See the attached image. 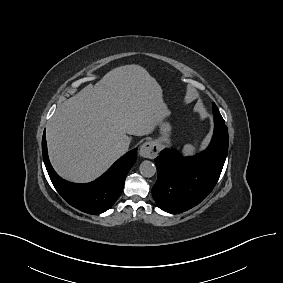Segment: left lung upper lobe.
Masks as SVG:
<instances>
[{"label": "left lung upper lobe", "mask_w": 283, "mask_h": 283, "mask_svg": "<svg viewBox=\"0 0 283 283\" xmlns=\"http://www.w3.org/2000/svg\"><path fill=\"white\" fill-rule=\"evenodd\" d=\"M213 114L214 115H218V116H221L218 108L216 107V105L213 103Z\"/></svg>", "instance_id": "obj_1"}]
</instances>
